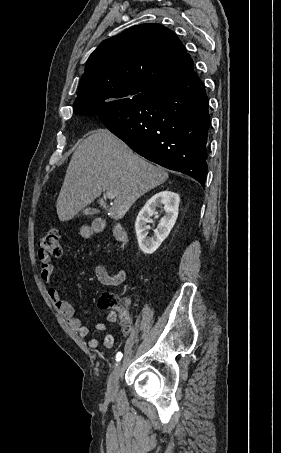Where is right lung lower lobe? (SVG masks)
<instances>
[{
    "label": "right lung lower lobe",
    "mask_w": 281,
    "mask_h": 453,
    "mask_svg": "<svg viewBox=\"0 0 281 453\" xmlns=\"http://www.w3.org/2000/svg\"><path fill=\"white\" fill-rule=\"evenodd\" d=\"M205 87L192 69L129 101L89 108L132 150L165 168L187 174L205 187L210 125Z\"/></svg>",
    "instance_id": "right-lung-lower-lobe-1"
}]
</instances>
